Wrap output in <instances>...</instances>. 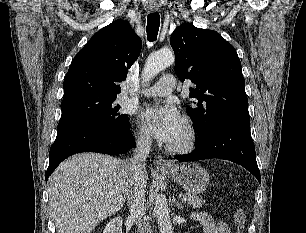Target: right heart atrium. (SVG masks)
<instances>
[{"label": "right heart atrium", "mask_w": 306, "mask_h": 233, "mask_svg": "<svg viewBox=\"0 0 306 233\" xmlns=\"http://www.w3.org/2000/svg\"><path fill=\"white\" fill-rule=\"evenodd\" d=\"M135 140L141 147H149L151 144V138L149 134L142 128H138L135 132Z\"/></svg>", "instance_id": "obj_1"}]
</instances>
